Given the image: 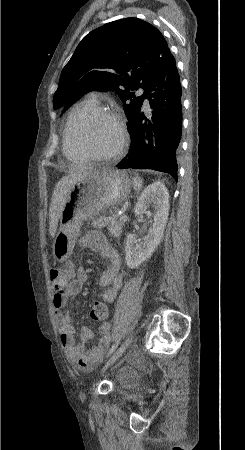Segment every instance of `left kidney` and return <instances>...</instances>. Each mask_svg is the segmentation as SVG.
Instances as JSON below:
<instances>
[{
  "label": "left kidney",
  "mask_w": 245,
  "mask_h": 450,
  "mask_svg": "<svg viewBox=\"0 0 245 450\" xmlns=\"http://www.w3.org/2000/svg\"><path fill=\"white\" fill-rule=\"evenodd\" d=\"M150 207L153 208V212L148 211ZM134 212L136 216L143 214L148 218L153 216L154 223L142 242H139L134 234L127 236L126 264L131 269L137 268L150 258L163 237L169 212V193L165 185L158 181L145 188L138 198Z\"/></svg>",
  "instance_id": "1"
}]
</instances>
